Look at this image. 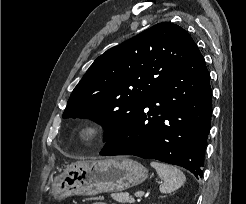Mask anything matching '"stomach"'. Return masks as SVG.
<instances>
[{
    "mask_svg": "<svg viewBox=\"0 0 246 204\" xmlns=\"http://www.w3.org/2000/svg\"><path fill=\"white\" fill-rule=\"evenodd\" d=\"M147 177L148 170L127 157L78 161L50 179V192L59 200L73 195L119 192L139 185Z\"/></svg>",
    "mask_w": 246,
    "mask_h": 204,
    "instance_id": "stomach-1",
    "label": "stomach"
}]
</instances>
